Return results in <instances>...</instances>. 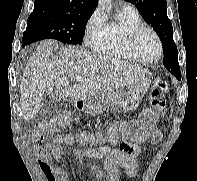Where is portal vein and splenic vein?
Segmentation results:
<instances>
[{
    "label": "portal vein and splenic vein",
    "instance_id": "1",
    "mask_svg": "<svg viewBox=\"0 0 197 181\" xmlns=\"http://www.w3.org/2000/svg\"><path fill=\"white\" fill-rule=\"evenodd\" d=\"M76 81H86L85 78L81 77L80 75H76L75 77H73Z\"/></svg>",
    "mask_w": 197,
    "mask_h": 181
}]
</instances>
